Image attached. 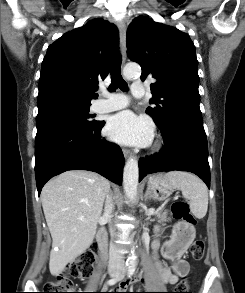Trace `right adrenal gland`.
<instances>
[{
    "label": "right adrenal gland",
    "instance_id": "1",
    "mask_svg": "<svg viewBox=\"0 0 245 293\" xmlns=\"http://www.w3.org/2000/svg\"><path fill=\"white\" fill-rule=\"evenodd\" d=\"M110 199L112 200V191L109 193Z\"/></svg>",
    "mask_w": 245,
    "mask_h": 293
}]
</instances>
